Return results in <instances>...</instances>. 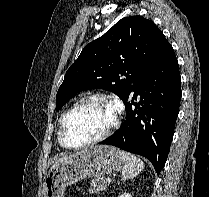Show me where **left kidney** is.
<instances>
[{"mask_svg": "<svg viewBox=\"0 0 209 197\" xmlns=\"http://www.w3.org/2000/svg\"><path fill=\"white\" fill-rule=\"evenodd\" d=\"M119 197H132V195L130 193H123L121 194Z\"/></svg>", "mask_w": 209, "mask_h": 197, "instance_id": "5707ae66", "label": "left kidney"}]
</instances>
